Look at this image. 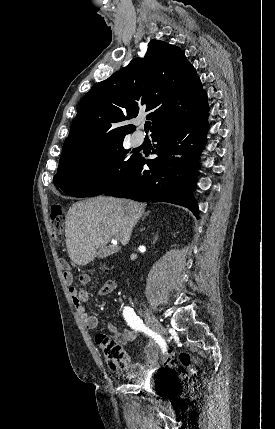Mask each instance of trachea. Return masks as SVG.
Listing matches in <instances>:
<instances>
[{"instance_id": "3493384b", "label": "trachea", "mask_w": 275, "mask_h": 429, "mask_svg": "<svg viewBox=\"0 0 275 429\" xmlns=\"http://www.w3.org/2000/svg\"><path fill=\"white\" fill-rule=\"evenodd\" d=\"M151 126V122H146L144 125L145 131L148 132Z\"/></svg>"}]
</instances>
